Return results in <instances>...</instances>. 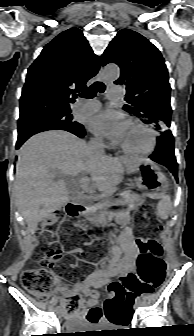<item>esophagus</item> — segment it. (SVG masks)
<instances>
[{"mask_svg":"<svg viewBox=\"0 0 194 336\" xmlns=\"http://www.w3.org/2000/svg\"><path fill=\"white\" fill-rule=\"evenodd\" d=\"M98 78H99V80H101V81H104L105 82V79L103 78V75H102V68L99 70V72H98Z\"/></svg>","mask_w":194,"mask_h":336,"instance_id":"obj_1","label":"esophagus"}]
</instances>
